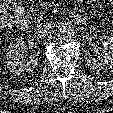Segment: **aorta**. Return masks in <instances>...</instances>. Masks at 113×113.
<instances>
[{
	"label": "aorta",
	"mask_w": 113,
	"mask_h": 113,
	"mask_svg": "<svg viewBox=\"0 0 113 113\" xmlns=\"http://www.w3.org/2000/svg\"><path fill=\"white\" fill-rule=\"evenodd\" d=\"M73 36H74V28L69 24L63 25L58 29L57 37L62 41L71 40Z\"/></svg>",
	"instance_id": "1"
}]
</instances>
